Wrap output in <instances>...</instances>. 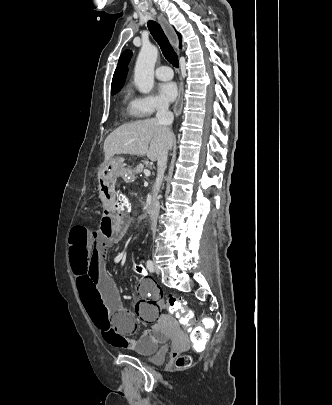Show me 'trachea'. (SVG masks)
Returning <instances> with one entry per match:
<instances>
[{
    "instance_id": "trachea-1",
    "label": "trachea",
    "mask_w": 332,
    "mask_h": 405,
    "mask_svg": "<svg viewBox=\"0 0 332 405\" xmlns=\"http://www.w3.org/2000/svg\"><path fill=\"white\" fill-rule=\"evenodd\" d=\"M147 26L149 28L151 35L160 46L161 51L166 60L169 61L174 67H178L179 66L178 56L174 51L173 47L171 46L161 26L157 22L152 20L148 21Z\"/></svg>"
}]
</instances>
